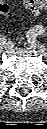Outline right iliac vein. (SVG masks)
I'll use <instances>...</instances> for the list:
<instances>
[{"label": "right iliac vein", "mask_w": 47, "mask_h": 129, "mask_svg": "<svg viewBox=\"0 0 47 129\" xmlns=\"http://www.w3.org/2000/svg\"><path fill=\"white\" fill-rule=\"evenodd\" d=\"M8 49V44L4 43L0 45V52H4Z\"/></svg>", "instance_id": "obj_1"}]
</instances>
